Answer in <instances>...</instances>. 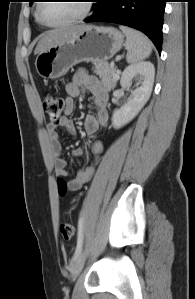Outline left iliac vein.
<instances>
[{
	"mask_svg": "<svg viewBox=\"0 0 195 299\" xmlns=\"http://www.w3.org/2000/svg\"><path fill=\"white\" fill-rule=\"evenodd\" d=\"M85 259H86V251L81 250V252L76 257V259L74 260V262L72 264L71 276H72L73 280H75L79 276L80 272L82 271L84 263H85Z\"/></svg>",
	"mask_w": 195,
	"mask_h": 299,
	"instance_id": "1",
	"label": "left iliac vein"
}]
</instances>
